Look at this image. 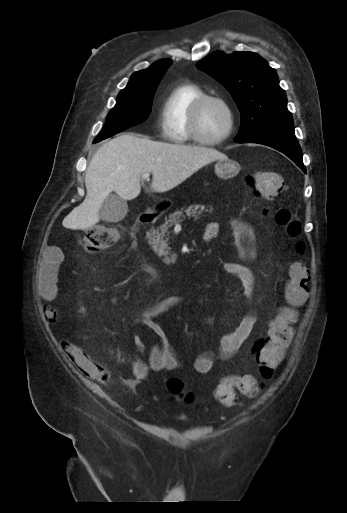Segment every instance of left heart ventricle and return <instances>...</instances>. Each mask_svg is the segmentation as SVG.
<instances>
[{
    "instance_id": "obj_1",
    "label": "left heart ventricle",
    "mask_w": 347,
    "mask_h": 513,
    "mask_svg": "<svg viewBox=\"0 0 347 513\" xmlns=\"http://www.w3.org/2000/svg\"><path fill=\"white\" fill-rule=\"evenodd\" d=\"M228 127V115L225 108L217 102H208L204 105L199 130L203 137L218 138L224 134Z\"/></svg>"
}]
</instances>
